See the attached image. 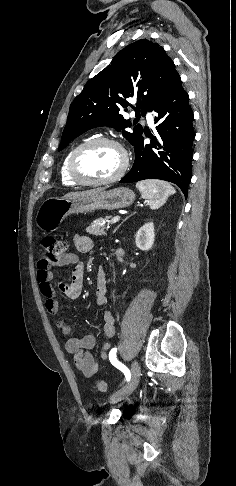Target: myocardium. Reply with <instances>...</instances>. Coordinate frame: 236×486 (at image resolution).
Returning a JSON list of instances; mask_svg holds the SVG:
<instances>
[{"label": "myocardium", "instance_id": "myocardium-1", "mask_svg": "<svg viewBox=\"0 0 236 486\" xmlns=\"http://www.w3.org/2000/svg\"><path fill=\"white\" fill-rule=\"evenodd\" d=\"M97 144H109L117 149L122 154V165L118 172L113 176L105 179H90L83 176L77 167L78 159L80 155L89 147L97 145ZM129 167V156L124 148V146L117 140L108 137H97L90 140H87L81 144H79L72 152L69 161H68V173L69 176L78 184L81 185H89V186H99V185H108L119 181L126 173Z\"/></svg>", "mask_w": 236, "mask_h": 486}]
</instances>
